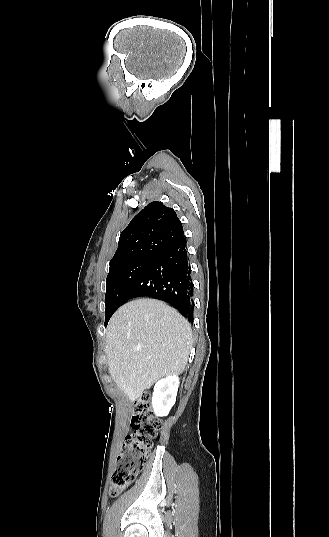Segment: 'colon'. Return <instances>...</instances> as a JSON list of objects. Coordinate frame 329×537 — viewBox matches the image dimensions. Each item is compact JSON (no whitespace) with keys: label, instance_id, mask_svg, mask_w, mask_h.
<instances>
[{"label":"colon","instance_id":"obj_1","mask_svg":"<svg viewBox=\"0 0 329 537\" xmlns=\"http://www.w3.org/2000/svg\"><path fill=\"white\" fill-rule=\"evenodd\" d=\"M162 425V420L153 414L149 395L144 393L135 402L131 418L132 432L125 437L112 472L110 483L112 496H118L144 467Z\"/></svg>","mask_w":329,"mask_h":537}]
</instances>
